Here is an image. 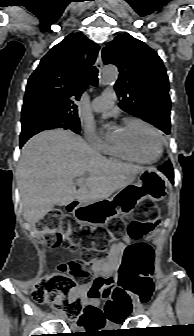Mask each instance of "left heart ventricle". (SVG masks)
<instances>
[{
  "mask_svg": "<svg viewBox=\"0 0 194 336\" xmlns=\"http://www.w3.org/2000/svg\"><path fill=\"white\" fill-rule=\"evenodd\" d=\"M114 142L124 144L130 151L143 159L154 158L158 149L154 133L141 124L119 128L114 135Z\"/></svg>",
  "mask_w": 194,
  "mask_h": 336,
  "instance_id": "1",
  "label": "left heart ventricle"
}]
</instances>
